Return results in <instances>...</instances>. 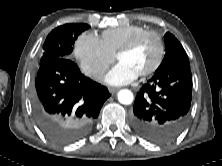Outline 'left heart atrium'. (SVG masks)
<instances>
[{
  "label": "left heart atrium",
  "instance_id": "obj_1",
  "mask_svg": "<svg viewBox=\"0 0 222 166\" xmlns=\"http://www.w3.org/2000/svg\"><path fill=\"white\" fill-rule=\"evenodd\" d=\"M138 74L123 62H119L105 76V82L109 85L119 86L132 82Z\"/></svg>",
  "mask_w": 222,
  "mask_h": 166
}]
</instances>
